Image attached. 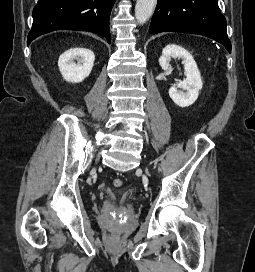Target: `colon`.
I'll use <instances>...</instances> for the list:
<instances>
[{"label":"colon","mask_w":255,"mask_h":272,"mask_svg":"<svg viewBox=\"0 0 255 272\" xmlns=\"http://www.w3.org/2000/svg\"><path fill=\"white\" fill-rule=\"evenodd\" d=\"M123 185V181L119 178L113 180V186L119 188Z\"/></svg>","instance_id":"5ec220e1"}]
</instances>
